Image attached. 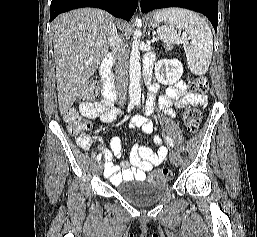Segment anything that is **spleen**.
Wrapping results in <instances>:
<instances>
[{"mask_svg": "<svg viewBox=\"0 0 257 237\" xmlns=\"http://www.w3.org/2000/svg\"><path fill=\"white\" fill-rule=\"evenodd\" d=\"M153 18L169 24L157 29L160 39L168 43L183 44L191 72L195 75L205 74L213 51V35L206 21L194 12L180 8L159 10ZM177 30H183V35L180 36ZM186 35L189 36L190 43Z\"/></svg>", "mask_w": 257, "mask_h": 237, "instance_id": "obj_1", "label": "spleen"}]
</instances>
